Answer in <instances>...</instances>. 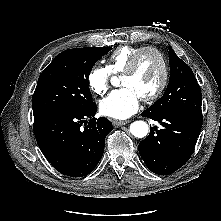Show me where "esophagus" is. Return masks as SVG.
Returning <instances> with one entry per match:
<instances>
[{"instance_id":"34e87169","label":"esophagus","mask_w":221,"mask_h":221,"mask_svg":"<svg viewBox=\"0 0 221 221\" xmlns=\"http://www.w3.org/2000/svg\"><path fill=\"white\" fill-rule=\"evenodd\" d=\"M128 122H129L128 120H125V121L114 120L113 121V125L115 127H119V126L127 124Z\"/></svg>"}]
</instances>
